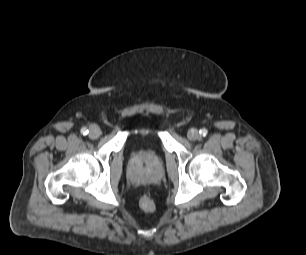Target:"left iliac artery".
I'll use <instances>...</instances> for the list:
<instances>
[{
    "mask_svg": "<svg viewBox=\"0 0 306 255\" xmlns=\"http://www.w3.org/2000/svg\"><path fill=\"white\" fill-rule=\"evenodd\" d=\"M199 133L201 136L205 137L208 134V130L206 128H202Z\"/></svg>",
    "mask_w": 306,
    "mask_h": 255,
    "instance_id": "left-iliac-artery-1",
    "label": "left iliac artery"
}]
</instances>
